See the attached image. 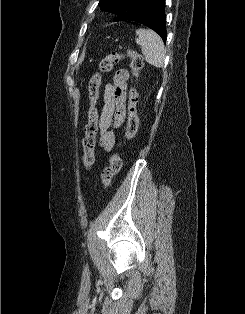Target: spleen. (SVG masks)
Listing matches in <instances>:
<instances>
[{
  "mask_svg": "<svg viewBox=\"0 0 245 314\" xmlns=\"http://www.w3.org/2000/svg\"><path fill=\"white\" fill-rule=\"evenodd\" d=\"M136 43L140 45L144 59L150 65L161 68L165 61V47L160 36L150 29H137Z\"/></svg>",
  "mask_w": 245,
  "mask_h": 314,
  "instance_id": "3e777b00",
  "label": "spleen"
}]
</instances>
